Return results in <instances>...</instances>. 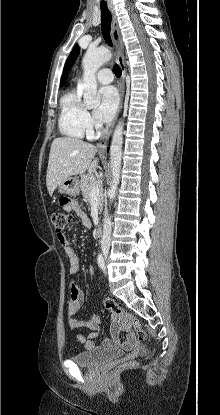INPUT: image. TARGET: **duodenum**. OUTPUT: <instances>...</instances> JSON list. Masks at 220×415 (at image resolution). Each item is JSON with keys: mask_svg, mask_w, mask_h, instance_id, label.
<instances>
[{"mask_svg": "<svg viewBox=\"0 0 220 415\" xmlns=\"http://www.w3.org/2000/svg\"><path fill=\"white\" fill-rule=\"evenodd\" d=\"M94 234H95L96 238H101L102 235H103V228H102V226H98L95 229Z\"/></svg>", "mask_w": 220, "mask_h": 415, "instance_id": "1", "label": "duodenum"}]
</instances>
